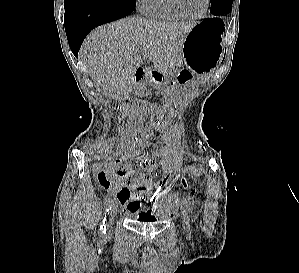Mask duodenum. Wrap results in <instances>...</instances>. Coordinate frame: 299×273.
<instances>
[{
    "instance_id": "obj_1",
    "label": "duodenum",
    "mask_w": 299,
    "mask_h": 273,
    "mask_svg": "<svg viewBox=\"0 0 299 273\" xmlns=\"http://www.w3.org/2000/svg\"><path fill=\"white\" fill-rule=\"evenodd\" d=\"M149 75L148 71L144 70L141 67H138L134 72V80L140 82L144 80Z\"/></svg>"
}]
</instances>
